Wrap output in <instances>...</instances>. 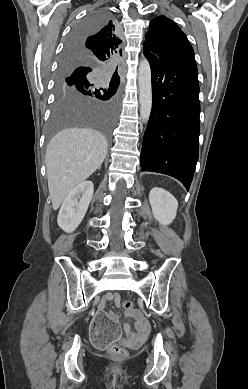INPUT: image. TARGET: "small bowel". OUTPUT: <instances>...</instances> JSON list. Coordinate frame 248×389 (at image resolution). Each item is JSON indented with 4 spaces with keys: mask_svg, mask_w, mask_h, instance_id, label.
<instances>
[{
    "mask_svg": "<svg viewBox=\"0 0 248 389\" xmlns=\"http://www.w3.org/2000/svg\"><path fill=\"white\" fill-rule=\"evenodd\" d=\"M105 301H115L116 303H119L120 295L112 292L106 293L103 302L100 304V309L104 308ZM126 316L134 320V329L129 323H125L124 332L126 337L120 338V341L128 347L138 346L146 338L149 332V327L139 311H129L126 313ZM110 317L115 320L117 319V316L112 313L110 314Z\"/></svg>",
    "mask_w": 248,
    "mask_h": 389,
    "instance_id": "small-bowel-1",
    "label": "small bowel"
}]
</instances>
